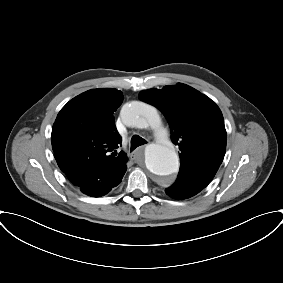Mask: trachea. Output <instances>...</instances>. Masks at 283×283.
<instances>
[{
	"mask_svg": "<svg viewBox=\"0 0 283 283\" xmlns=\"http://www.w3.org/2000/svg\"><path fill=\"white\" fill-rule=\"evenodd\" d=\"M147 141L145 139H143L142 137L138 136V135H134L131 138V148L130 151L132 152L134 149H136L137 147L146 144Z\"/></svg>",
	"mask_w": 283,
	"mask_h": 283,
	"instance_id": "obj_1",
	"label": "trachea"
}]
</instances>
